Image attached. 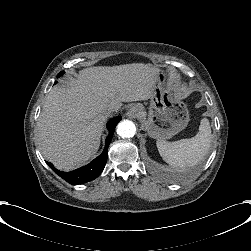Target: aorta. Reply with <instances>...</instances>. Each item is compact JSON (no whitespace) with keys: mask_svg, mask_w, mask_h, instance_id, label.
<instances>
[{"mask_svg":"<svg viewBox=\"0 0 251 251\" xmlns=\"http://www.w3.org/2000/svg\"><path fill=\"white\" fill-rule=\"evenodd\" d=\"M136 128L132 121L124 120L118 123L117 133L120 137H131L135 134Z\"/></svg>","mask_w":251,"mask_h":251,"instance_id":"1","label":"aorta"}]
</instances>
